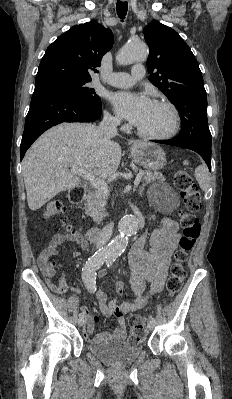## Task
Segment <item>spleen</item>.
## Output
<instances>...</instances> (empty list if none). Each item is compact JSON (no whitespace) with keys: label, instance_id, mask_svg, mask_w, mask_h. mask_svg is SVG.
<instances>
[{"label":"spleen","instance_id":"spleen-1","mask_svg":"<svg viewBox=\"0 0 232 399\" xmlns=\"http://www.w3.org/2000/svg\"><path fill=\"white\" fill-rule=\"evenodd\" d=\"M201 190L203 192H206L207 188H209V182H210V174L207 166H198L195 170L194 174Z\"/></svg>","mask_w":232,"mask_h":399}]
</instances>
